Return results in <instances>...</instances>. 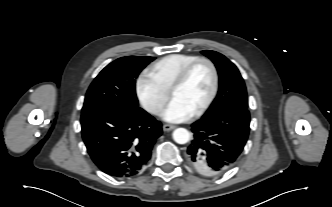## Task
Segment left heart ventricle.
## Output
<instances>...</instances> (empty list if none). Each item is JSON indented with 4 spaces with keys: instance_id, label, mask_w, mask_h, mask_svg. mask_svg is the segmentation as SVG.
I'll return each instance as SVG.
<instances>
[{
    "instance_id": "left-heart-ventricle-1",
    "label": "left heart ventricle",
    "mask_w": 332,
    "mask_h": 207,
    "mask_svg": "<svg viewBox=\"0 0 332 207\" xmlns=\"http://www.w3.org/2000/svg\"><path fill=\"white\" fill-rule=\"evenodd\" d=\"M212 82L210 68L204 63L198 64L191 71L186 82L174 91L171 97L195 112L207 99Z\"/></svg>"
}]
</instances>
